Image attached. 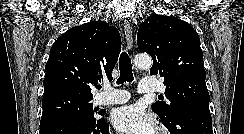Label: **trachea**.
Instances as JSON below:
<instances>
[{"label":"trachea","instance_id":"1","mask_svg":"<svg viewBox=\"0 0 244 134\" xmlns=\"http://www.w3.org/2000/svg\"><path fill=\"white\" fill-rule=\"evenodd\" d=\"M119 70H120V76L117 80V84H123L126 81L127 82H133V72H132V65L131 60L127 52H122L119 59ZM101 86H98V89H100ZM161 97V96H159Z\"/></svg>","mask_w":244,"mask_h":134}]
</instances>
